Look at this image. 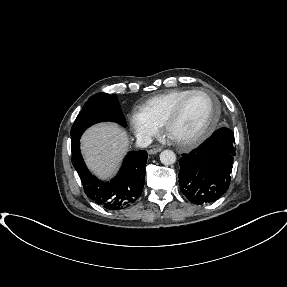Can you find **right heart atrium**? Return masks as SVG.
Instances as JSON below:
<instances>
[{"instance_id":"right-heart-atrium-1","label":"right heart atrium","mask_w":287,"mask_h":287,"mask_svg":"<svg viewBox=\"0 0 287 287\" xmlns=\"http://www.w3.org/2000/svg\"><path fill=\"white\" fill-rule=\"evenodd\" d=\"M129 119L135 135L141 141L150 140L160 129L159 125L148 119L140 110H134Z\"/></svg>"}]
</instances>
